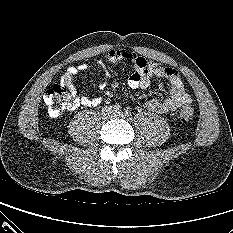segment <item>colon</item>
Wrapping results in <instances>:
<instances>
[{
  "label": "colon",
  "instance_id": "5ec220e1",
  "mask_svg": "<svg viewBox=\"0 0 233 233\" xmlns=\"http://www.w3.org/2000/svg\"><path fill=\"white\" fill-rule=\"evenodd\" d=\"M72 95L62 85L54 84L44 94V103L51 116H59L72 102ZM195 116L194 108L190 104L182 106L179 119L183 123H189Z\"/></svg>",
  "mask_w": 233,
  "mask_h": 233
}]
</instances>
